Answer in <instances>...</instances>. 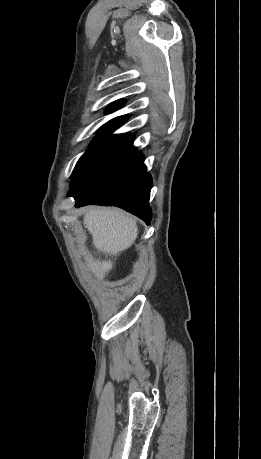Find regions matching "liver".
<instances>
[{
	"label": "liver",
	"mask_w": 261,
	"mask_h": 459,
	"mask_svg": "<svg viewBox=\"0 0 261 459\" xmlns=\"http://www.w3.org/2000/svg\"><path fill=\"white\" fill-rule=\"evenodd\" d=\"M83 224L92 235L93 246L98 253H103L106 257H116L128 249L138 236L136 220L116 209H91L85 214ZM85 260L92 273L99 279L114 266L110 259L99 262L85 256Z\"/></svg>",
	"instance_id": "1"
}]
</instances>
